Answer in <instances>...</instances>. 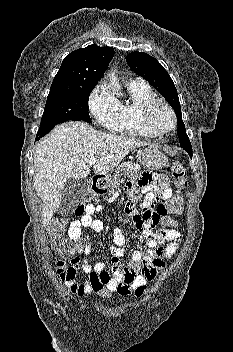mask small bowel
Listing matches in <instances>:
<instances>
[{
    "label": "small bowel",
    "mask_w": 233,
    "mask_h": 352,
    "mask_svg": "<svg viewBox=\"0 0 233 352\" xmlns=\"http://www.w3.org/2000/svg\"><path fill=\"white\" fill-rule=\"evenodd\" d=\"M127 189L130 201L126 207V214L139 229V239L145 242L148 250L145 254L140 250H135L130 263L127 266L122 265L120 258L124 254L123 246L127 240L123 232L117 228L113 232L115 246L111 249V275L105 270L104 262H97L93 268L94 272L108 276L105 284L108 290L117 291L122 295H128L137 286L152 280L163 269L164 260L176 253L181 240L178 231L164 225L160 226L162 214L158 209H154L156 201H167L172 196V190L168 187L166 179L157 173L144 172L137 182L129 183ZM140 192L145 193V200L141 204V211L138 212L136 203L140 198ZM102 210V206L88 203L81 218L71 221L68 229L69 238L73 241H80L84 227L101 232L103 223L93 218V214L100 213ZM165 242L169 244L162 247L161 245ZM82 252L85 255L90 254L92 245L87 243L82 246ZM80 263L79 257L73 258L68 266V275L62 279L69 291L77 297L92 293L89 279L85 281L78 279ZM82 268L87 274L92 271L86 259L83 261Z\"/></svg>",
    "instance_id": "1"
}]
</instances>
